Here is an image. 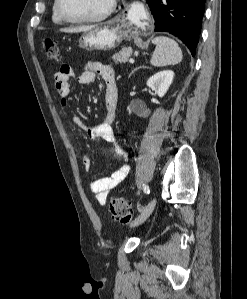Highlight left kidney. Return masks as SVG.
<instances>
[{"label":"left kidney","instance_id":"left-kidney-1","mask_svg":"<svg viewBox=\"0 0 247 299\" xmlns=\"http://www.w3.org/2000/svg\"><path fill=\"white\" fill-rule=\"evenodd\" d=\"M173 78L174 72L172 70L160 71L148 79L147 85L162 97L168 91Z\"/></svg>","mask_w":247,"mask_h":299}]
</instances>
